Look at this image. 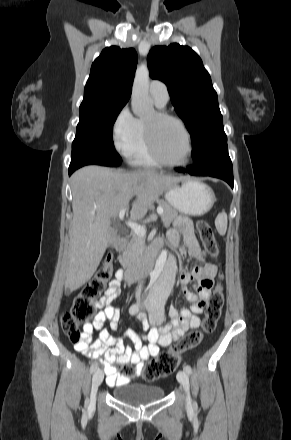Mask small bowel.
I'll list each match as a JSON object with an SVG mask.
<instances>
[{
    "instance_id": "obj_1",
    "label": "small bowel",
    "mask_w": 291,
    "mask_h": 440,
    "mask_svg": "<svg viewBox=\"0 0 291 440\" xmlns=\"http://www.w3.org/2000/svg\"><path fill=\"white\" fill-rule=\"evenodd\" d=\"M167 240L172 249L181 246V240L188 248L191 256L199 261L191 272H182L180 280L183 285L192 280L196 282L192 288L197 292L182 287V293L186 300L191 303L190 308H182L178 311L171 306L169 315L171 326H163L159 329L150 328L146 335L147 345L142 344V337L134 330L129 329L125 333L132 347L126 345L122 338H114L109 334V330L104 328L109 322V329L117 331L119 329L120 313L115 309L111 302L119 296V287L123 279V272L118 271L115 278L109 283L104 296L96 303L100 309L92 322H87L83 326L82 342L74 345L76 351L81 352L93 359L104 356L101 364L106 372V382L109 386H122L129 382V375L125 371H119L128 364L135 365V373L140 375L146 363L160 354L161 347H166L180 338L188 329H196L200 326V314L208 301L209 291L205 282L216 275L217 266L211 262L206 252L200 247L196 240V234L192 223L186 218H179L172 229L167 232ZM162 246L161 241H157L154 249L158 251ZM137 319L147 327V318L144 314H137ZM100 330L99 339L92 341L94 330Z\"/></svg>"
}]
</instances>
